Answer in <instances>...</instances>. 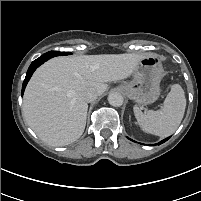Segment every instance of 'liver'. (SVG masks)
<instances>
[{"instance_id":"liver-1","label":"liver","mask_w":201,"mask_h":201,"mask_svg":"<svg viewBox=\"0 0 201 201\" xmlns=\"http://www.w3.org/2000/svg\"><path fill=\"white\" fill-rule=\"evenodd\" d=\"M144 55L101 54L55 57L40 66L30 79L23 99V116L46 144L65 146L83 134L88 104L82 92L97 96L107 82L128 78Z\"/></svg>"}]
</instances>
